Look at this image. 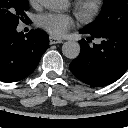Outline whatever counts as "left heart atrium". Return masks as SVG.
<instances>
[{"instance_id": "left-heart-atrium-1", "label": "left heart atrium", "mask_w": 128, "mask_h": 128, "mask_svg": "<svg viewBox=\"0 0 128 128\" xmlns=\"http://www.w3.org/2000/svg\"><path fill=\"white\" fill-rule=\"evenodd\" d=\"M36 23L53 35H63L74 25V18L68 13L47 12L37 17Z\"/></svg>"}]
</instances>
